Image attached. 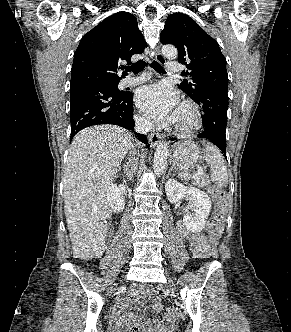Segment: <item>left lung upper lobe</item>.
<instances>
[{"label":"left lung upper lobe","instance_id":"5c2ea615","mask_svg":"<svg viewBox=\"0 0 291 332\" xmlns=\"http://www.w3.org/2000/svg\"><path fill=\"white\" fill-rule=\"evenodd\" d=\"M162 44L178 49V61L188 69L184 80L177 85L190 98L207 92L228 93L226 59L218 43L193 19L183 13L169 15L160 35Z\"/></svg>","mask_w":291,"mask_h":332}]
</instances>
